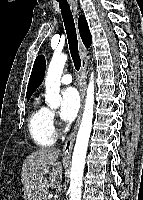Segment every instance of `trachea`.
<instances>
[{
  "instance_id": "1",
  "label": "trachea",
  "mask_w": 143,
  "mask_h": 200,
  "mask_svg": "<svg viewBox=\"0 0 143 200\" xmlns=\"http://www.w3.org/2000/svg\"><path fill=\"white\" fill-rule=\"evenodd\" d=\"M61 14L63 17L64 26L67 33L68 44L75 69L78 71L81 66V60L78 53V41L74 18L70 10V6L66 0H58Z\"/></svg>"
}]
</instances>
